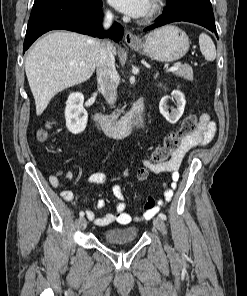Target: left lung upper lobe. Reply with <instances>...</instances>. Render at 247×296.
Segmentation results:
<instances>
[{
	"label": "left lung upper lobe",
	"instance_id": "obj_1",
	"mask_svg": "<svg viewBox=\"0 0 247 296\" xmlns=\"http://www.w3.org/2000/svg\"><path fill=\"white\" fill-rule=\"evenodd\" d=\"M181 1L182 0H167V2L173 3V4L178 3V2H181Z\"/></svg>",
	"mask_w": 247,
	"mask_h": 296
}]
</instances>
